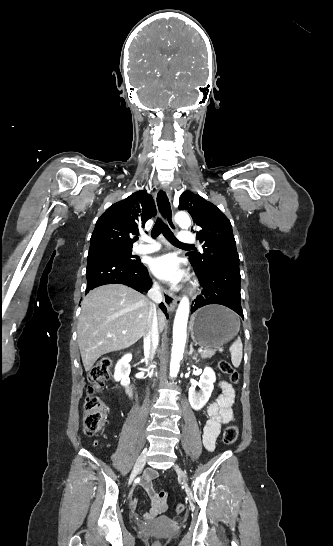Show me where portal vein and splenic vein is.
<instances>
[{"mask_svg":"<svg viewBox=\"0 0 333 546\" xmlns=\"http://www.w3.org/2000/svg\"><path fill=\"white\" fill-rule=\"evenodd\" d=\"M123 333H126V332L124 331ZM198 352H199V353H202V352H205V350L198 349Z\"/></svg>","mask_w":333,"mask_h":546,"instance_id":"portal-vein-and-splenic-vein-1","label":"portal vein and splenic vein"}]
</instances>
